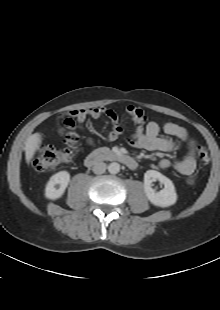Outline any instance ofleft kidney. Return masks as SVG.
I'll return each mask as SVG.
<instances>
[{
	"label": "left kidney",
	"mask_w": 220,
	"mask_h": 310,
	"mask_svg": "<svg viewBox=\"0 0 220 310\" xmlns=\"http://www.w3.org/2000/svg\"><path fill=\"white\" fill-rule=\"evenodd\" d=\"M158 180L164 188L156 192L152 188V183ZM144 191L149 201L159 207H169L177 201V194L173 182L155 170H148L144 174Z\"/></svg>",
	"instance_id": "1"
}]
</instances>
